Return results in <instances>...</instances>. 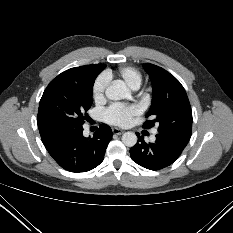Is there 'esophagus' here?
Returning a JSON list of instances; mask_svg holds the SVG:
<instances>
[{"mask_svg": "<svg viewBox=\"0 0 233 233\" xmlns=\"http://www.w3.org/2000/svg\"><path fill=\"white\" fill-rule=\"evenodd\" d=\"M112 132H113V134L120 135V134H122L124 131L121 130V129H119V128H113V129H112Z\"/></svg>", "mask_w": 233, "mask_h": 233, "instance_id": "34e87169", "label": "esophagus"}]
</instances>
